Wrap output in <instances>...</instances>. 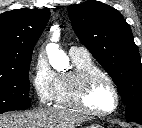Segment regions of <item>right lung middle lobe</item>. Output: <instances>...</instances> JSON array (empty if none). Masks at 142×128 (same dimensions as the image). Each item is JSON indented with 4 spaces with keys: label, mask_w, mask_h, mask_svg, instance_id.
<instances>
[{
    "label": "right lung middle lobe",
    "mask_w": 142,
    "mask_h": 128,
    "mask_svg": "<svg viewBox=\"0 0 142 128\" xmlns=\"http://www.w3.org/2000/svg\"><path fill=\"white\" fill-rule=\"evenodd\" d=\"M30 61L22 63L16 69L0 72V113L30 107Z\"/></svg>",
    "instance_id": "dd1d6c3e"
}]
</instances>
